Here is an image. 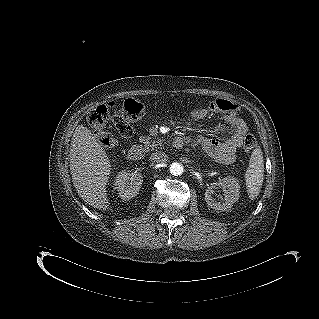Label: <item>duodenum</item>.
Here are the masks:
<instances>
[{"label":"duodenum","instance_id":"duodenum-1","mask_svg":"<svg viewBox=\"0 0 319 319\" xmlns=\"http://www.w3.org/2000/svg\"><path fill=\"white\" fill-rule=\"evenodd\" d=\"M186 142V139L181 137V136H178L175 138V145L178 146V147H181L184 145V143ZM143 156V153L141 151V149L137 146H133L131 147L129 150H128V153H127V158L128 159H131V160H137V159H140L141 157Z\"/></svg>","mask_w":319,"mask_h":319}]
</instances>
